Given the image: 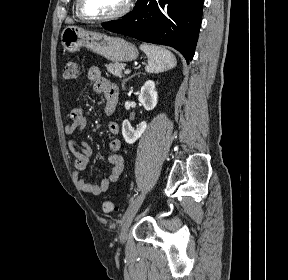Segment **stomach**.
<instances>
[{
  "label": "stomach",
  "mask_w": 288,
  "mask_h": 280,
  "mask_svg": "<svg viewBox=\"0 0 288 280\" xmlns=\"http://www.w3.org/2000/svg\"><path fill=\"white\" fill-rule=\"evenodd\" d=\"M61 43L68 52L73 53L79 51L81 47H86L115 63L135 60L139 54L135 45L123 38L107 36L77 26L64 28Z\"/></svg>",
  "instance_id": "obj_1"
}]
</instances>
